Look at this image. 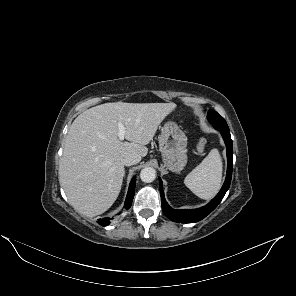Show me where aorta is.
Listing matches in <instances>:
<instances>
[{
	"label": "aorta",
	"instance_id": "762f6f07",
	"mask_svg": "<svg viewBox=\"0 0 296 296\" xmlns=\"http://www.w3.org/2000/svg\"><path fill=\"white\" fill-rule=\"evenodd\" d=\"M140 178L145 183L153 182L156 178L155 169H153L151 167H146V168L142 169L140 172Z\"/></svg>",
	"mask_w": 296,
	"mask_h": 296
}]
</instances>
